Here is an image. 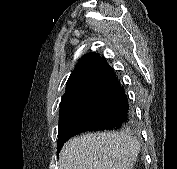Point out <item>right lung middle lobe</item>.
Here are the masks:
<instances>
[{
  "instance_id": "dd1d6c3e",
  "label": "right lung middle lobe",
  "mask_w": 177,
  "mask_h": 169,
  "mask_svg": "<svg viewBox=\"0 0 177 169\" xmlns=\"http://www.w3.org/2000/svg\"><path fill=\"white\" fill-rule=\"evenodd\" d=\"M88 101L89 93L86 87L78 93L62 99L60 104L59 124L79 114Z\"/></svg>"
}]
</instances>
